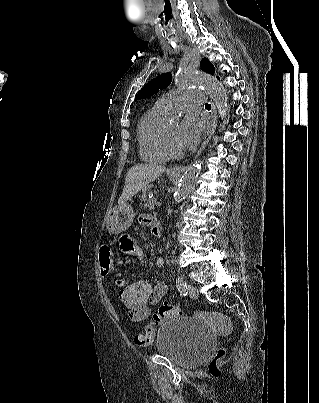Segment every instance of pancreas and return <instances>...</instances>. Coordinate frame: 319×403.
Masks as SVG:
<instances>
[{
	"instance_id": "pancreas-1",
	"label": "pancreas",
	"mask_w": 319,
	"mask_h": 403,
	"mask_svg": "<svg viewBox=\"0 0 319 403\" xmlns=\"http://www.w3.org/2000/svg\"><path fill=\"white\" fill-rule=\"evenodd\" d=\"M156 205V200L155 199H145L144 201V208L148 210H154Z\"/></svg>"
}]
</instances>
